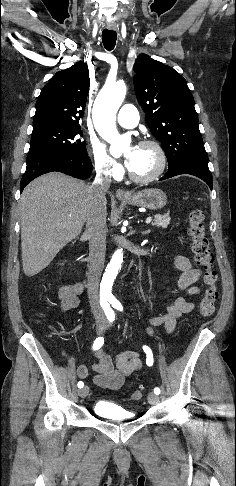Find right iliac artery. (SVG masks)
Wrapping results in <instances>:
<instances>
[{
    "instance_id": "1",
    "label": "right iliac artery",
    "mask_w": 236,
    "mask_h": 486,
    "mask_svg": "<svg viewBox=\"0 0 236 486\" xmlns=\"http://www.w3.org/2000/svg\"><path fill=\"white\" fill-rule=\"evenodd\" d=\"M103 308L108 320L110 322H113L115 320V313L106 301L103 302ZM103 344H104V338L102 336L96 338L93 344V350L96 351L100 349ZM77 385L79 388H82L84 386V383L82 381H79Z\"/></svg>"
}]
</instances>
